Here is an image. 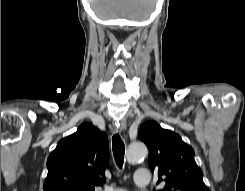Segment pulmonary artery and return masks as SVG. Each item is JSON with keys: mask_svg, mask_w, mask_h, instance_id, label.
I'll list each match as a JSON object with an SVG mask.
<instances>
[{"mask_svg": "<svg viewBox=\"0 0 245 191\" xmlns=\"http://www.w3.org/2000/svg\"><path fill=\"white\" fill-rule=\"evenodd\" d=\"M151 175L146 168H138L134 174V183L138 187H146L150 183ZM104 191H127L122 188L107 187Z\"/></svg>", "mask_w": 245, "mask_h": 191, "instance_id": "1", "label": "pulmonary artery"}]
</instances>
